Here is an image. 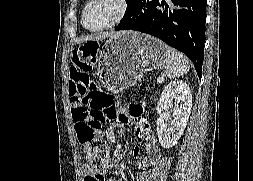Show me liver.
<instances>
[{
  "label": "liver",
  "instance_id": "obj_1",
  "mask_svg": "<svg viewBox=\"0 0 253 181\" xmlns=\"http://www.w3.org/2000/svg\"><path fill=\"white\" fill-rule=\"evenodd\" d=\"M122 32H125V31H122ZM122 32H118V33H112V34H108V33H99V34H93V35H90V36H87L85 38H83L81 41L82 42H85V41H100V40H103L104 38L106 37H113V36H116Z\"/></svg>",
  "mask_w": 253,
  "mask_h": 181
}]
</instances>
